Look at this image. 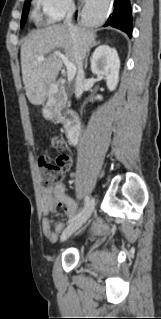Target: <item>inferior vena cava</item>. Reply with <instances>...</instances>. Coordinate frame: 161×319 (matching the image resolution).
I'll return each instance as SVG.
<instances>
[{"label": "inferior vena cava", "instance_id": "1", "mask_svg": "<svg viewBox=\"0 0 161 319\" xmlns=\"http://www.w3.org/2000/svg\"><path fill=\"white\" fill-rule=\"evenodd\" d=\"M74 12H75V6L71 5L69 10H68L64 24L66 26H68V29L71 33L72 40L74 43V48L77 50V48H78V33H77L76 28L72 24V16H73ZM84 56H85L84 53H79L78 59H77L78 72H77L76 90H75V95L77 98H79L84 91V70H83Z\"/></svg>", "mask_w": 161, "mask_h": 319}]
</instances>
